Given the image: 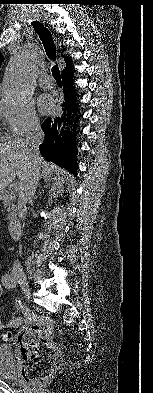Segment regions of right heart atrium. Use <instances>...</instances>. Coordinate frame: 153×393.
<instances>
[{
  "label": "right heart atrium",
  "instance_id": "obj_1",
  "mask_svg": "<svg viewBox=\"0 0 153 393\" xmlns=\"http://www.w3.org/2000/svg\"><path fill=\"white\" fill-rule=\"evenodd\" d=\"M0 117L13 136L25 135L39 127V119L31 103L8 102L0 112Z\"/></svg>",
  "mask_w": 153,
  "mask_h": 393
}]
</instances>
